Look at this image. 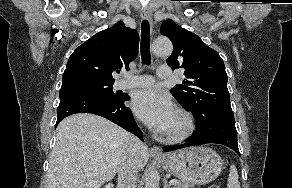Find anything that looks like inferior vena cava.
I'll return each mask as SVG.
<instances>
[{"label": "inferior vena cava", "instance_id": "602c4592", "mask_svg": "<svg viewBox=\"0 0 292 188\" xmlns=\"http://www.w3.org/2000/svg\"><path fill=\"white\" fill-rule=\"evenodd\" d=\"M143 147L144 145L137 137H130L127 154L118 168L117 188H135L138 174V154Z\"/></svg>", "mask_w": 292, "mask_h": 188}]
</instances>
